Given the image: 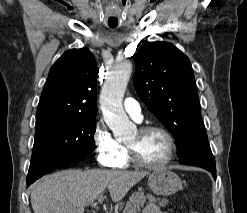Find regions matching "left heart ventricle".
<instances>
[{
	"mask_svg": "<svg viewBox=\"0 0 247 213\" xmlns=\"http://www.w3.org/2000/svg\"><path fill=\"white\" fill-rule=\"evenodd\" d=\"M127 144L131 145L137 155L148 163H159L167 155L168 145L164 135L158 131H151L140 134L136 130L128 139Z\"/></svg>",
	"mask_w": 247,
	"mask_h": 213,
	"instance_id": "b2bd125f",
	"label": "left heart ventricle"
}]
</instances>
